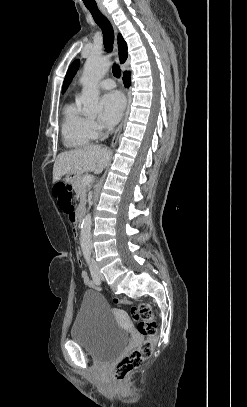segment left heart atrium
<instances>
[{"label":"left heart atrium","mask_w":247,"mask_h":407,"mask_svg":"<svg viewBox=\"0 0 247 407\" xmlns=\"http://www.w3.org/2000/svg\"><path fill=\"white\" fill-rule=\"evenodd\" d=\"M102 119L108 124L116 123L124 110L125 99L118 91H112L105 94L101 99Z\"/></svg>","instance_id":"39dd6f15"}]
</instances>
